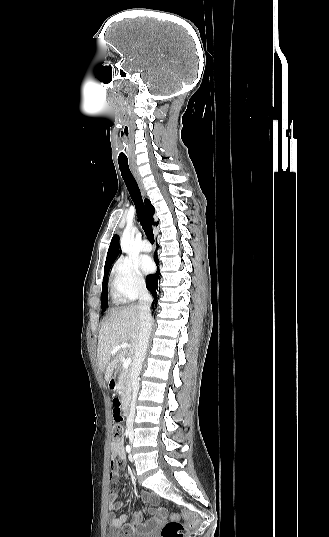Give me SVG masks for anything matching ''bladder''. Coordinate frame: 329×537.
Segmentation results:
<instances>
[{"mask_svg": "<svg viewBox=\"0 0 329 537\" xmlns=\"http://www.w3.org/2000/svg\"><path fill=\"white\" fill-rule=\"evenodd\" d=\"M107 537H153L150 533H138V534H130V533H124L116 530H109L107 532Z\"/></svg>", "mask_w": 329, "mask_h": 537, "instance_id": "obj_1", "label": "bladder"}]
</instances>
